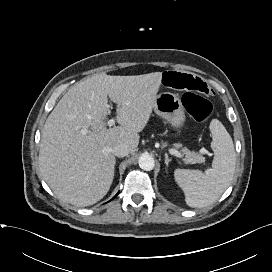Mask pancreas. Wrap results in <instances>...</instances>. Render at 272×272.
<instances>
[{
	"label": "pancreas",
	"instance_id": "cf45deb5",
	"mask_svg": "<svg viewBox=\"0 0 272 272\" xmlns=\"http://www.w3.org/2000/svg\"><path fill=\"white\" fill-rule=\"evenodd\" d=\"M176 148H181L182 145L180 143L174 144ZM181 151L183 152L185 158L184 161L186 163H191V164H196V163H204L205 162V157H203L200 153L190 151L187 148H182Z\"/></svg>",
	"mask_w": 272,
	"mask_h": 272
}]
</instances>
